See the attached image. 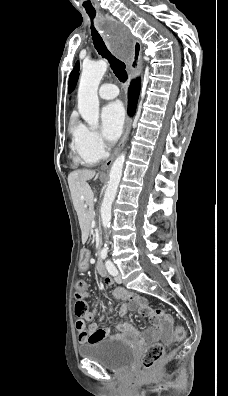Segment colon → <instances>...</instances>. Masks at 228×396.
Here are the masks:
<instances>
[{"instance_id":"colon-1","label":"colon","mask_w":228,"mask_h":396,"mask_svg":"<svg viewBox=\"0 0 228 396\" xmlns=\"http://www.w3.org/2000/svg\"><path fill=\"white\" fill-rule=\"evenodd\" d=\"M75 297H76V306L75 313L78 316L79 320L76 324L78 329H83L86 326L85 323V315L87 312V303L86 299L88 297V287L87 284L79 280L75 284ZM153 315L156 317H161L164 315L161 309H155L153 311ZM185 331L183 327L177 326L174 330V339L179 341L184 338ZM164 355V348L159 343H153L148 346L146 349L143 358H142V366L145 370H152L155 366L160 362Z\"/></svg>"}]
</instances>
